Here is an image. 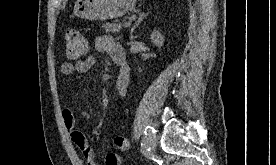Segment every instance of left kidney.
I'll list each match as a JSON object with an SVG mask.
<instances>
[{
  "instance_id": "1",
  "label": "left kidney",
  "mask_w": 276,
  "mask_h": 165,
  "mask_svg": "<svg viewBox=\"0 0 276 165\" xmlns=\"http://www.w3.org/2000/svg\"><path fill=\"white\" fill-rule=\"evenodd\" d=\"M151 41L154 45L162 47L164 44V36L159 31H153L151 34Z\"/></svg>"
}]
</instances>
